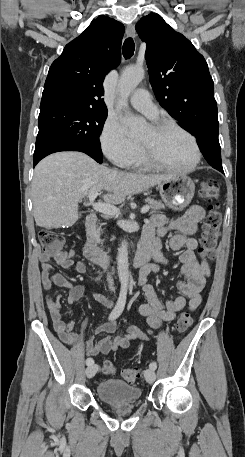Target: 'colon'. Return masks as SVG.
Segmentation results:
<instances>
[{
    "instance_id": "colon-1",
    "label": "colon",
    "mask_w": 245,
    "mask_h": 457,
    "mask_svg": "<svg viewBox=\"0 0 245 457\" xmlns=\"http://www.w3.org/2000/svg\"><path fill=\"white\" fill-rule=\"evenodd\" d=\"M200 195L209 202V212L203 223L202 246L200 254L207 259L212 258L216 249L222 216L218 208L219 184L215 179H210L201 184ZM39 241L43 248V254L49 257L55 256L63 249L64 240L59 234L41 229L38 234ZM193 323V318L189 311L182 312L177 320L176 328L179 332H185ZM103 370L105 373L114 372V366L110 361H105ZM121 376L128 382L135 381L140 376L137 368H125L121 370Z\"/></svg>"
}]
</instances>
